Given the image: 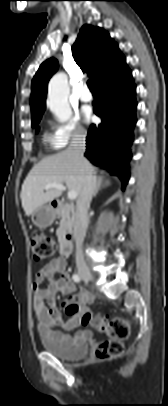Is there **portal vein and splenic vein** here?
<instances>
[{
    "label": "portal vein and splenic vein",
    "mask_w": 168,
    "mask_h": 406,
    "mask_svg": "<svg viewBox=\"0 0 168 406\" xmlns=\"http://www.w3.org/2000/svg\"><path fill=\"white\" fill-rule=\"evenodd\" d=\"M51 188H56V189H59V190H62V191L66 190V187L61 183H49V184H47L45 186V190H49ZM68 198L70 200L76 199L77 198V193L75 191H69L68 192Z\"/></svg>",
    "instance_id": "portal-vein-and-splenic-vein-1"
}]
</instances>
